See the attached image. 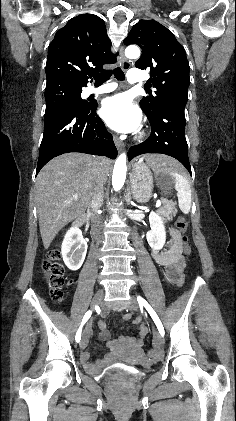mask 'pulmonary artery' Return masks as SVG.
<instances>
[{"instance_id":"e3ab8cb5","label":"pulmonary artery","mask_w":236,"mask_h":421,"mask_svg":"<svg viewBox=\"0 0 236 421\" xmlns=\"http://www.w3.org/2000/svg\"><path fill=\"white\" fill-rule=\"evenodd\" d=\"M127 79L129 83H134L136 86H143L142 84L143 76H142V71L140 69H130L128 71ZM116 89H118L117 83H114V82L105 83L97 88H93V87L89 88L88 90H86L84 95L85 96H88L91 94L99 95V94L112 92Z\"/></svg>"}]
</instances>
